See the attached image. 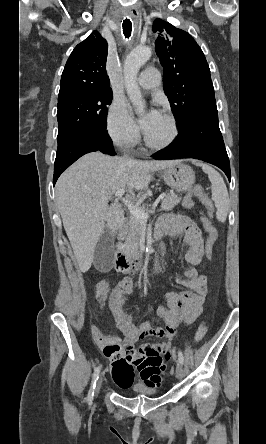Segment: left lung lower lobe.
Listing matches in <instances>:
<instances>
[{
  "mask_svg": "<svg viewBox=\"0 0 266 444\" xmlns=\"http://www.w3.org/2000/svg\"><path fill=\"white\" fill-rule=\"evenodd\" d=\"M180 135L156 160L195 158L216 165L231 179L229 158L218 124L217 108L193 113L179 125Z\"/></svg>",
  "mask_w": 266,
  "mask_h": 444,
  "instance_id": "left-lung-lower-lobe-1",
  "label": "left lung lower lobe"
}]
</instances>
